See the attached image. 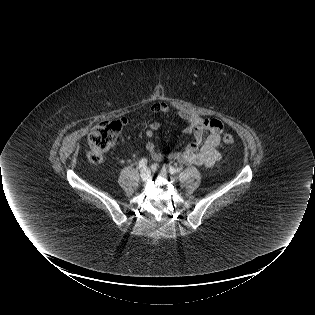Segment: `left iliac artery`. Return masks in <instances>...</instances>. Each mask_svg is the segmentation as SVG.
<instances>
[{"label":"left iliac artery","mask_w":315,"mask_h":315,"mask_svg":"<svg viewBox=\"0 0 315 315\" xmlns=\"http://www.w3.org/2000/svg\"><path fill=\"white\" fill-rule=\"evenodd\" d=\"M153 166H154L155 168H158V165H157V164H154ZM162 170L168 171L170 174H176V173H179L180 171H182L183 168H179V167L175 168V167L170 166V165H164V166L162 167Z\"/></svg>","instance_id":"1"}]
</instances>
